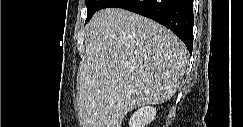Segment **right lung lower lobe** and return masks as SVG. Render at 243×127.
I'll return each mask as SVG.
<instances>
[{
    "label": "right lung lower lobe",
    "instance_id": "1",
    "mask_svg": "<svg viewBox=\"0 0 243 127\" xmlns=\"http://www.w3.org/2000/svg\"><path fill=\"white\" fill-rule=\"evenodd\" d=\"M108 7L123 8L166 26L192 53L193 0H105L100 9Z\"/></svg>",
    "mask_w": 243,
    "mask_h": 127
}]
</instances>
